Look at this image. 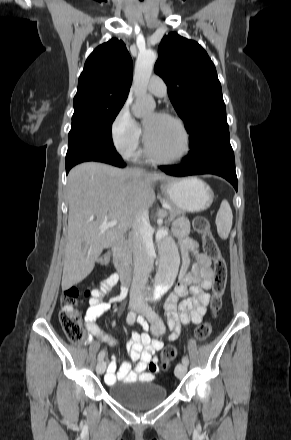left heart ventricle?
<instances>
[{"instance_id":"1","label":"left heart ventricle","mask_w":291,"mask_h":440,"mask_svg":"<svg viewBox=\"0 0 291 440\" xmlns=\"http://www.w3.org/2000/svg\"><path fill=\"white\" fill-rule=\"evenodd\" d=\"M148 139L162 157L173 159L184 151V136L175 122L153 112L144 117Z\"/></svg>"}]
</instances>
